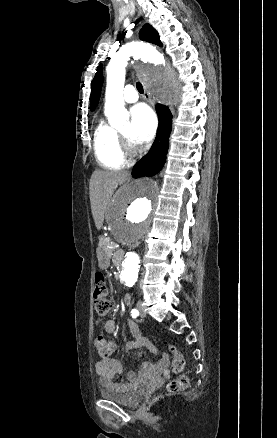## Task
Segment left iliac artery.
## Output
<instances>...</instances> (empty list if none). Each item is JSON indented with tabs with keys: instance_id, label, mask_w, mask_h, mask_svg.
<instances>
[{
	"instance_id": "obj_1",
	"label": "left iliac artery",
	"mask_w": 277,
	"mask_h": 438,
	"mask_svg": "<svg viewBox=\"0 0 277 438\" xmlns=\"http://www.w3.org/2000/svg\"><path fill=\"white\" fill-rule=\"evenodd\" d=\"M138 315H139L138 310H137V309H132V311H131V316H132L133 318H136V317H138Z\"/></svg>"
}]
</instances>
